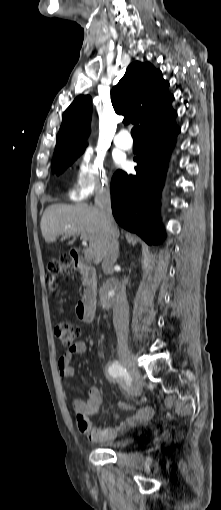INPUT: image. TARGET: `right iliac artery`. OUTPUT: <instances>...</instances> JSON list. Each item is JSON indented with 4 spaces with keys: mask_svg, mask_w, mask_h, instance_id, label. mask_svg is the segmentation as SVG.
<instances>
[{
    "mask_svg": "<svg viewBox=\"0 0 221 510\" xmlns=\"http://www.w3.org/2000/svg\"><path fill=\"white\" fill-rule=\"evenodd\" d=\"M108 372L114 378L125 379L128 375L126 369L118 361H114L109 366Z\"/></svg>",
    "mask_w": 221,
    "mask_h": 510,
    "instance_id": "obj_1",
    "label": "right iliac artery"
}]
</instances>
